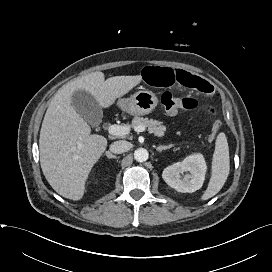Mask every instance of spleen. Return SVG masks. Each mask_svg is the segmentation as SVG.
<instances>
[{"instance_id":"spleen-1","label":"spleen","mask_w":272,"mask_h":272,"mask_svg":"<svg viewBox=\"0 0 272 272\" xmlns=\"http://www.w3.org/2000/svg\"><path fill=\"white\" fill-rule=\"evenodd\" d=\"M230 171L229 147L225 133L218 134L212 159L211 178L201 199L215 196L225 184Z\"/></svg>"}]
</instances>
